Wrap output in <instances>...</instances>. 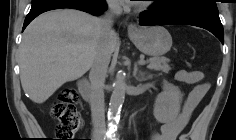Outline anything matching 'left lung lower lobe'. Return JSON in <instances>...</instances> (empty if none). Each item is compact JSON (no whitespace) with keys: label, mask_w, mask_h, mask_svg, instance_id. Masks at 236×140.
I'll return each mask as SVG.
<instances>
[{"label":"left lung lower lobe","mask_w":236,"mask_h":140,"mask_svg":"<svg viewBox=\"0 0 236 140\" xmlns=\"http://www.w3.org/2000/svg\"><path fill=\"white\" fill-rule=\"evenodd\" d=\"M140 25H193L210 31L224 43L223 26L219 14L215 12L197 9L165 11L161 7H154L141 13Z\"/></svg>","instance_id":"left-lung-lower-lobe-1"}]
</instances>
